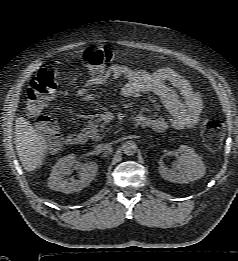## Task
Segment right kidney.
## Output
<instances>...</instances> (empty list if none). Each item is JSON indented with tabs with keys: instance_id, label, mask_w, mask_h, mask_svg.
<instances>
[{
	"instance_id": "right-kidney-1",
	"label": "right kidney",
	"mask_w": 238,
	"mask_h": 261,
	"mask_svg": "<svg viewBox=\"0 0 238 261\" xmlns=\"http://www.w3.org/2000/svg\"><path fill=\"white\" fill-rule=\"evenodd\" d=\"M79 170V180L68 182L64 179L65 175L73 170ZM98 171V165L95 162L80 163L75 159V155H67L59 159L53 166L48 180V187L55 191L64 193H73L87 187L94 179Z\"/></svg>"
}]
</instances>
